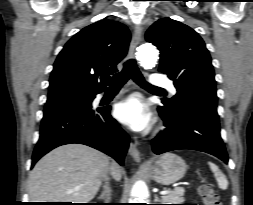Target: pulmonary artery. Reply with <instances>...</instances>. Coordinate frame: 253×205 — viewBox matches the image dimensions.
Instances as JSON below:
<instances>
[{"label":"pulmonary artery","mask_w":253,"mask_h":205,"mask_svg":"<svg viewBox=\"0 0 253 205\" xmlns=\"http://www.w3.org/2000/svg\"><path fill=\"white\" fill-rule=\"evenodd\" d=\"M151 83L154 85H157V86H162V87L167 88L172 94H176V92H177L175 86L173 85V83L170 80L160 78L157 75H153L151 77Z\"/></svg>","instance_id":"pulmonary-artery-1"}]
</instances>
